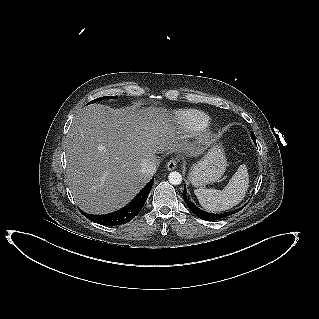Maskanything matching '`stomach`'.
I'll list each match as a JSON object with an SVG mask.
<instances>
[{
	"label": "stomach",
	"instance_id": "obj_1",
	"mask_svg": "<svg viewBox=\"0 0 319 319\" xmlns=\"http://www.w3.org/2000/svg\"><path fill=\"white\" fill-rule=\"evenodd\" d=\"M227 167V159L223 148L214 145L203 158L194 164L188 175L189 181L195 187L218 181Z\"/></svg>",
	"mask_w": 319,
	"mask_h": 319
}]
</instances>
